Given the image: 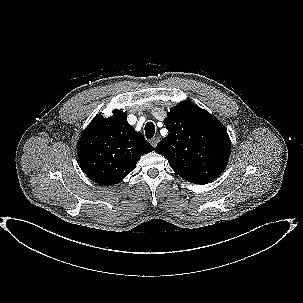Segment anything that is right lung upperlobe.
<instances>
[{"instance_id":"right-lung-upper-lobe-1","label":"right lung upper lobe","mask_w":303,"mask_h":303,"mask_svg":"<svg viewBox=\"0 0 303 303\" xmlns=\"http://www.w3.org/2000/svg\"><path fill=\"white\" fill-rule=\"evenodd\" d=\"M154 150L140 132L127 122L125 113L97 115L82 133L77 155L83 172L94 182L113 185L136 167L141 155Z\"/></svg>"}]
</instances>
